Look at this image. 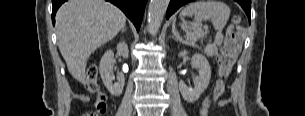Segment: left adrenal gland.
<instances>
[{
  "mask_svg": "<svg viewBox=\"0 0 305 116\" xmlns=\"http://www.w3.org/2000/svg\"><path fill=\"white\" fill-rule=\"evenodd\" d=\"M172 38L175 39V40H177V41H178V39H179L178 36H177V34L175 33V31H173V36H172Z\"/></svg>",
  "mask_w": 305,
  "mask_h": 116,
  "instance_id": "left-adrenal-gland-1",
  "label": "left adrenal gland"
}]
</instances>
